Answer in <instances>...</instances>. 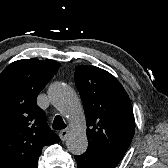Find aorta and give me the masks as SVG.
Wrapping results in <instances>:
<instances>
[{
  "mask_svg": "<svg viewBox=\"0 0 168 168\" xmlns=\"http://www.w3.org/2000/svg\"><path fill=\"white\" fill-rule=\"evenodd\" d=\"M48 97L71 126L70 135L66 140L67 149L74 155L83 154L88 147V139L85 117L78 95L69 85L54 83L48 89Z\"/></svg>",
  "mask_w": 168,
  "mask_h": 168,
  "instance_id": "obj_1",
  "label": "aorta"
}]
</instances>
